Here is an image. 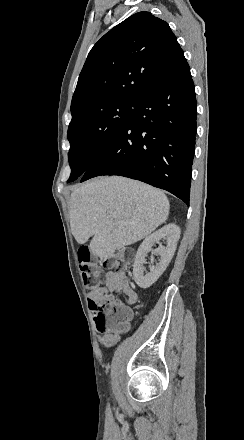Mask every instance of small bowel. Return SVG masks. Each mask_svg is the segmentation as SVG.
<instances>
[{"label":"small bowel","mask_w":244,"mask_h":440,"mask_svg":"<svg viewBox=\"0 0 244 440\" xmlns=\"http://www.w3.org/2000/svg\"><path fill=\"white\" fill-rule=\"evenodd\" d=\"M108 292L123 293L126 303L133 304L137 300L135 291L131 288L125 273L121 271L106 272L104 276V286H99L91 291L89 294L90 300L103 298ZM119 340L120 338H113L112 335H106V333L100 336V343L104 347H112L117 344Z\"/></svg>","instance_id":"small-bowel-1"}]
</instances>
